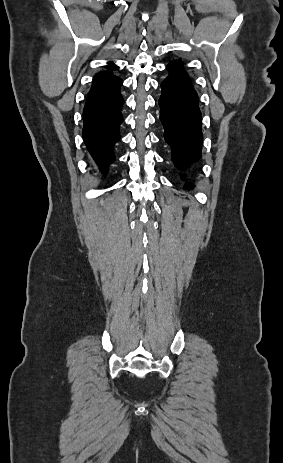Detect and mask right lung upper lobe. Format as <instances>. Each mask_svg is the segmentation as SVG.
Listing matches in <instances>:
<instances>
[{
    "label": "right lung upper lobe",
    "instance_id": "obj_1",
    "mask_svg": "<svg viewBox=\"0 0 283 463\" xmlns=\"http://www.w3.org/2000/svg\"><path fill=\"white\" fill-rule=\"evenodd\" d=\"M110 64H111L110 65L111 67L114 66L112 62ZM113 77H115V76L110 71H106V72H103V73H98L93 78V85L99 84V83L104 82L106 80H109V79H111Z\"/></svg>",
    "mask_w": 283,
    "mask_h": 463
}]
</instances>
